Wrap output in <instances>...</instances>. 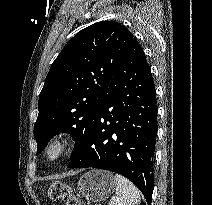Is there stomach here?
Masks as SVG:
<instances>
[{
    "mask_svg": "<svg viewBox=\"0 0 212 205\" xmlns=\"http://www.w3.org/2000/svg\"><path fill=\"white\" fill-rule=\"evenodd\" d=\"M77 186L85 200L99 203L107 199L115 190V181L110 172L91 170L79 179Z\"/></svg>",
    "mask_w": 212,
    "mask_h": 205,
    "instance_id": "obj_1",
    "label": "stomach"
}]
</instances>
